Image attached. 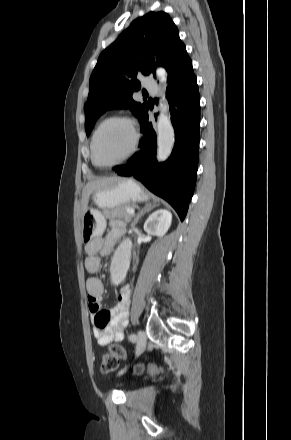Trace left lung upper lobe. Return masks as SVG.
I'll return each instance as SVG.
<instances>
[{"label":"left lung upper lobe","instance_id":"left-lung-upper-lobe-1","mask_svg":"<svg viewBox=\"0 0 291 440\" xmlns=\"http://www.w3.org/2000/svg\"><path fill=\"white\" fill-rule=\"evenodd\" d=\"M186 53L179 31L165 12H149L135 19L130 26L99 56L90 77L85 111L87 136L96 120L109 108L129 107L141 121L148 104L133 100L132 94L141 90L137 75L155 76L153 63L169 72Z\"/></svg>","mask_w":291,"mask_h":440}]
</instances>
